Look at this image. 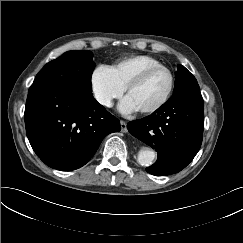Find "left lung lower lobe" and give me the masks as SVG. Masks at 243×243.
I'll use <instances>...</instances> for the list:
<instances>
[{"instance_id":"obj_1","label":"left lung lower lobe","mask_w":243,"mask_h":243,"mask_svg":"<svg viewBox=\"0 0 243 243\" xmlns=\"http://www.w3.org/2000/svg\"><path fill=\"white\" fill-rule=\"evenodd\" d=\"M204 105L199 90L173 96L150 116L128 123L129 132L158 152L157 162L146 168L152 175H170L184 169L200 149Z\"/></svg>"}]
</instances>
